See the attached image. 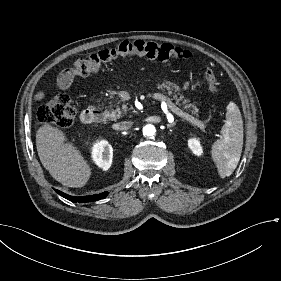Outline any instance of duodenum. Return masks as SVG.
<instances>
[{"label": "duodenum", "mask_w": 281, "mask_h": 281, "mask_svg": "<svg viewBox=\"0 0 281 281\" xmlns=\"http://www.w3.org/2000/svg\"><path fill=\"white\" fill-rule=\"evenodd\" d=\"M103 116V107L97 106L94 108L84 109L81 113V121L84 124H90L100 120Z\"/></svg>", "instance_id": "410a0bca"}]
</instances>
